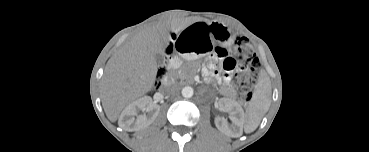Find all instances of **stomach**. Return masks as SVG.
Wrapping results in <instances>:
<instances>
[{"instance_id": "1", "label": "stomach", "mask_w": 369, "mask_h": 152, "mask_svg": "<svg viewBox=\"0 0 369 152\" xmlns=\"http://www.w3.org/2000/svg\"><path fill=\"white\" fill-rule=\"evenodd\" d=\"M215 36V35H214ZM216 38L220 39L225 45L229 44V30L225 26H220V35L215 36Z\"/></svg>"}]
</instances>
